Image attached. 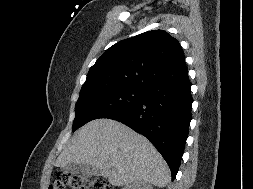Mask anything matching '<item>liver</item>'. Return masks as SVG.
Returning <instances> with one entry per match:
<instances>
[{
  "instance_id": "liver-1",
  "label": "liver",
  "mask_w": 253,
  "mask_h": 189,
  "mask_svg": "<svg viewBox=\"0 0 253 189\" xmlns=\"http://www.w3.org/2000/svg\"><path fill=\"white\" fill-rule=\"evenodd\" d=\"M84 163L96 167L113 186L144 181L159 188L170 181V170L156 148L142 135L111 119L81 127L55 166Z\"/></svg>"
}]
</instances>
